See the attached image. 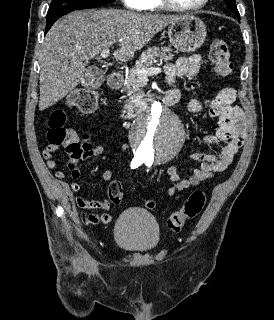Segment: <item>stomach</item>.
Returning <instances> with one entry per match:
<instances>
[{
  "mask_svg": "<svg viewBox=\"0 0 274 320\" xmlns=\"http://www.w3.org/2000/svg\"><path fill=\"white\" fill-rule=\"evenodd\" d=\"M171 46L179 52H195L205 42L207 30L200 18L186 14L179 16L168 28Z\"/></svg>",
  "mask_w": 274,
  "mask_h": 320,
  "instance_id": "0dacf381",
  "label": "stomach"
}]
</instances>
